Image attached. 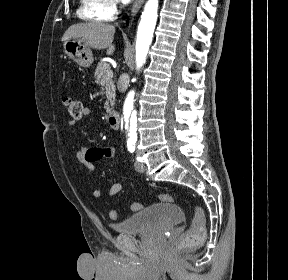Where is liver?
I'll list each match as a JSON object with an SVG mask.
<instances>
[{"mask_svg": "<svg viewBox=\"0 0 288 280\" xmlns=\"http://www.w3.org/2000/svg\"><path fill=\"white\" fill-rule=\"evenodd\" d=\"M115 27L100 22L79 23L70 26L62 37V41L76 39L93 49H107V55H112L115 46L112 44Z\"/></svg>", "mask_w": 288, "mask_h": 280, "instance_id": "6515ba94", "label": "liver"}]
</instances>
